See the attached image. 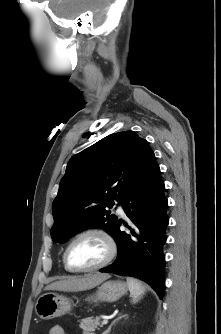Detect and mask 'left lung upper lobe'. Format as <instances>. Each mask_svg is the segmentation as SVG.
<instances>
[{
    "instance_id": "obj_1",
    "label": "left lung upper lobe",
    "mask_w": 221,
    "mask_h": 334,
    "mask_svg": "<svg viewBox=\"0 0 221 334\" xmlns=\"http://www.w3.org/2000/svg\"><path fill=\"white\" fill-rule=\"evenodd\" d=\"M154 158L148 142L134 131L110 134L71 158L52 204V240L64 243L87 228L112 235L118 220L106 207L114 205L113 199L122 203Z\"/></svg>"
}]
</instances>
